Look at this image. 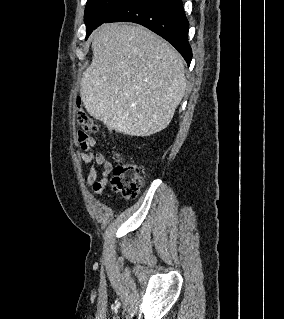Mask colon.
Instances as JSON below:
<instances>
[{"label": "colon", "mask_w": 284, "mask_h": 319, "mask_svg": "<svg viewBox=\"0 0 284 319\" xmlns=\"http://www.w3.org/2000/svg\"><path fill=\"white\" fill-rule=\"evenodd\" d=\"M77 122L85 132L96 133L98 126L84 111L77 112ZM117 165L113 169L111 186L113 190L126 199H134L143 183L140 169L137 165L123 161L119 155L115 156Z\"/></svg>", "instance_id": "obj_1"}]
</instances>
